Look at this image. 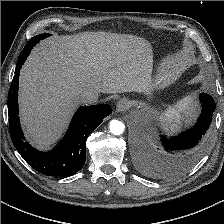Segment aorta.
Listing matches in <instances>:
<instances>
[{
  "mask_svg": "<svg viewBox=\"0 0 224 224\" xmlns=\"http://www.w3.org/2000/svg\"><path fill=\"white\" fill-rule=\"evenodd\" d=\"M110 132L114 135H121L125 130V125L119 120H111L109 124Z\"/></svg>",
  "mask_w": 224,
  "mask_h": 224,
  "instance_id": "obj_1",
  "label": "aorta"
}]
</instances>
